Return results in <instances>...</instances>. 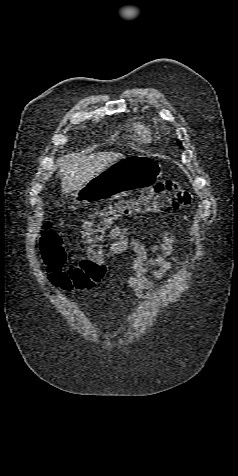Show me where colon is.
<instances>
[{"mask_svg": "<svg viewBox=\"0 0 238 476\" xmlns=\"http://www.w3.org/2000/svg\"><path fill=\"white\" fill-rule=\"evenodd\" d=\"M192 195L178 182L166 180L154 184L135 198L115 202L94 213L85 222L86 255L72 267L64 268L66 252L60 235L44 224L39 249L49 280L66 291L85 290L105 274L102 243L108 229L119 219L148 214H168L191 203Z\"/></svg>", "mask_w": 238, "mask_h": 476, "instance_id": "obj_1", "label": "colon"}]
</instances>
